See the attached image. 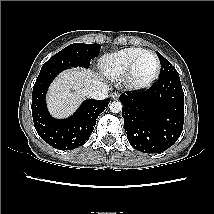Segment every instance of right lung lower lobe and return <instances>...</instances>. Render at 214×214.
Returning <instances> with one entry per match:
<instances>
[{
  "mask_svg": "<svg viewBox=\"0 0 214 214\" xmlns=\"http://www.w3.org/2000/svg\"><path fill=\"white\" fill-rule=\"evenodd\" d=\"M63 70L49 68L40 71L33 87L32 116L35 129L45 142L60 150H71L87 142L96 118L108 106L110 99L86 100L71 117L54 119L48 113L45 97L49 85Z\"/></svg>",
  "mask_w": 214,
  "mask_h": 214,
  "instance_id": "right-lung-lower-lobe-1",
  "label": "right lung lower lobe"
}]
</instances>
